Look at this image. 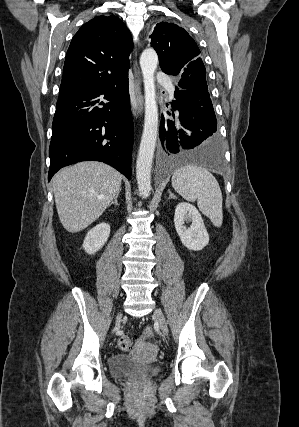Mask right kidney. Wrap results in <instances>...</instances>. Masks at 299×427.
<instances>
[{"label":"right kidney","instance_id":"obj_1","mask_svg":"<svg viewBox=\"0 0 299 427\" xmlns=\"http://www.w3.org/2000/svg\"><path fill=\"white\" fill-rule=\"evenodd\" d=\"M110 234V225L102 222L93 227L86 235L83 249L88 254H95L107 242Z\"/></svg>","mask_w":299,"mask_h":427}]
</instances>
